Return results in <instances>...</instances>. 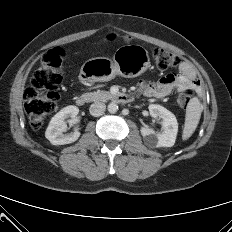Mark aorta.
Listing matches in <instances>:
<instances>
[{
  "label": "aorta",
  "instance_id": "aorta-1",
  "mask_svg": "<svg viewBox=\"0 0 232 232\" xmlns=\"http://www.w3.org/2000/svg\"><path fill=\"white\" fill-rule=\"evenodd\" d=\"M108 111L110 113H116L118 111V105L115 102H111L108 104Z\"/></svg>",
  "mask_w": 232,
  "mask_h": 232
}]
</instances>
